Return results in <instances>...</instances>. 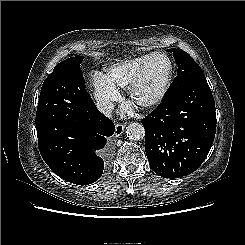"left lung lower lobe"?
Returning a JSON list of instances; mask_svg holds the SVG:
<instances>
[{"instance_id":"1","label":"left lung lower lobe","mask_w":245,"mask_h":245,"mask_svg":"<svg viewBox=\"0 0 245 245\" xmlns=\"http://www.w3.org/2000/svg\"><path fill=\"white\" fill-rule=\"evenodd\" d=\"M145 151L159 176L178 178L197 170L216 132L215 102L206 81L166 96L142 120Z\"/></svg>"}]
</instances>
